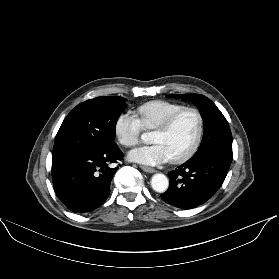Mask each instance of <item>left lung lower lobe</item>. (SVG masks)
Wrapping results in <instances>:
<instances>
[{
    "label": "left lung lower lobe",
    "instance_id": "0a47b994",
    "mask_svg": "<svg viewBox=\"0 0 279 279\" xmlns=\"http://www.w3.org/2000/svg\"><path fill=\"white\" fill-rule=\"evenodd\" d=\"M231 161L216 153L189 159L169 172L170 185L161 195L162 200L183 209L205 203L221 187Z\"/></svg>",
    "mask_w": 279,
    "mask_h": 279
}]
</instances>
